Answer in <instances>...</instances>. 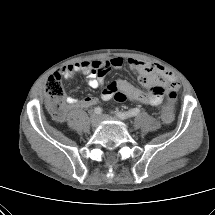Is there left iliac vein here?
I'll return each mask as SVG.
<instances>
[{
    "instance_id": "4c4485c4",
    "label": "left iliac vein",
    "mask_w": 215,
    "mask_h": 215,
    "mask_svg": "<svg viewBox=\"0 0 215 215\" xmlns=\"http://www.w3.org/2000/svg\"><path fill=\"white\" fill-rule=\"evenodd\" d=\"M100 119L101 120H110V119H117V118L113 117V116H110V115L103 114V115L100 116Z\"/></svg>"
}]
</instances>
